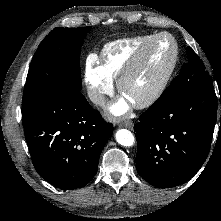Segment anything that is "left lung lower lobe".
Here are the masks:
<instances>
[{"label": "left lung lower lobe", "mask_w": 221, "mask_h": 221, "mask_svg": "<svg viewBox=\"0 0 221 221\" xmlns=\"http://www.w3.org/2000/svg\"><path fill=\"white\" fill-rule=\"evenodd\" d=\"M217 105L212 84L162 94L134 127L139 175L162 188L181 185L193 177L208 156Z\"/></svg>", "instance_id": "1"}]
</instances>
